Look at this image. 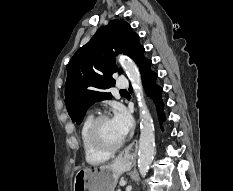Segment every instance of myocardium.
Here are the masks:
<instances>
[{
    "label": "myocardium",
    "instance_id": "f54148a6",
    "mask_svg": "<svg viewBox=\"0 0 233 191\" xmlns=\"http://www.w3.org/2000/svg\"><path fill=\"white\" fill-rule=\"evenodd\" d=\"M107 119H109L107 114H100L92 119L87 130V142L93 151L99 154L112 155L123 146L124 140L122 139L119 143L110 147L102 144L98 137V128L101 122Z\"/></svg>",
    "mask_w": 233,
    "mask_h": 191
}]
</instances>
